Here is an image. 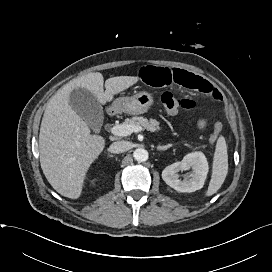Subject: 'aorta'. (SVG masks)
Wrapping results in <instances>:
<instances>
[{
	"label": "aorta",
	"mask_w": 272,
	"mask_h": 272,
	"mask_svg": "<svg viewBox=\"0 0 272 272\" xmlns=\"http://www.w3.org/2000/svg\"><path fill=\"white\" fill-rule=\"evenodd\" d=\"M133 157L138 162H144L148 159V152H147V150H145L143 148H137L133 152Z\"/></svg>",
	"instance_id": "obj_1"
}]
</instances>
